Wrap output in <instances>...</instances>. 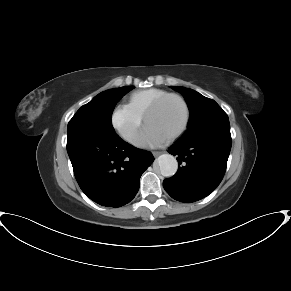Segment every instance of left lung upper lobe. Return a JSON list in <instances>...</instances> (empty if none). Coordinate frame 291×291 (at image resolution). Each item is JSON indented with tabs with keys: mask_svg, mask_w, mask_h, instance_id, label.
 <instances>
[{
	"mask_svg": "<svg viewBox=\"0 0 291 291\" xmlns=\"http://www.w3.org/2000/svg\"><path fill=\"white\" fill-rule=\"evenodd\" d=\"M172 88L184 96L190 110L188 129L183 136L196 133L211 124L228 120L227 114L214 100L185 87Z\"/></svg>",
	"mask_w": 291,
	"mask_h": 291,
	"instance_id": "5c2ea615",
	"label": "left lung upper lobe"
}]
</instances>
